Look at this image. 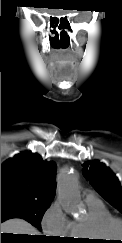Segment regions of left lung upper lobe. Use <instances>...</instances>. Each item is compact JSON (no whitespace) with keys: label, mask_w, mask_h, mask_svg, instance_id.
Segmentation results:
<instances>
[{"label":"left lung upper lobe","mask_w":122,"mask_h":243,"mask_svg":"<svg viewBox=\"0 0 122 243\" xmlns=\"http://www.w3.org/2000/svg\"><path fill=\"white\" fill-rule=\"evenodd\" d=\"M83 175L93 188L112 206L122 212V188L115 174L98 161H87L83 165Z\"/></svg>","instance_id":"obj_1"}]
</instances>
